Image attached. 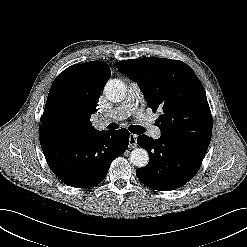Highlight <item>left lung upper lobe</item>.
I'll return each mask as SVG.
<instances>
[{
    "mask_svg": "<svg viewBox=\"0 0 247 247\" xmlns=\"http://www.w3.org/2000/svg\"><path fill=\"white\" fill-rule=\"evenodd\" d=\"M116 67L141 86L153 112L163 110L156 120L163 136L209 145L210 108L200 80L187 64L146 57L120 61Z\"/></svg>",
    "mask_w": 247,
    "mask_h": 247,
    "instance_id": "5c2ea615",
    "label": "left lung upper lobe"
}]
</instances>
